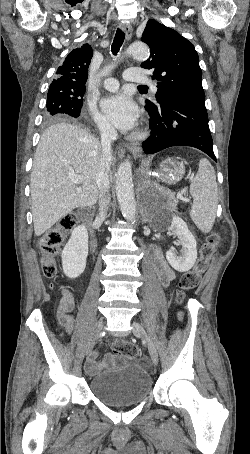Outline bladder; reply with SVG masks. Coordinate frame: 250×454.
Returning <instances> with one entry per match:
<instances>
[{
	"label": "bladder",
	"mask_w": 250,
	"mask_h": 454,
	"mask_svg": "<svg viewBox=\"0 0 250 454\" xmlns=\"http://www.w3.org/2000/svg\"><path fill=\"white\" fill-rule=\"evenodd\" d=\"M117 358L120 360L118 368L106 370L90 379L91 393L109 406L134 405L146 400L152 390L148 371L121 356Z\"/></svg>",
	"instance_id": "31cf9c89"
}]
</instances>
